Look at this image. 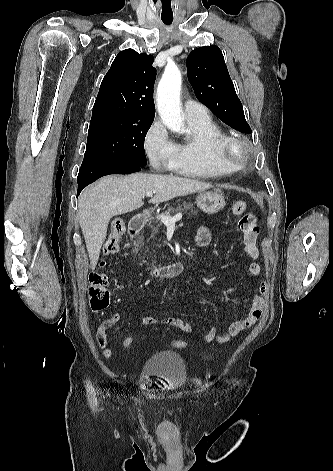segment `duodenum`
I'll return each mask as SVG.
<instances>
[{
    "mask_svg": "<svg viewBox=\"0 0 333 471\" xmlns=\"http://www.w3.org/2000/svg\"><path fill=\"white\" fill-rule=\"evenodd\" d=\"M147 222V216L145 213L138 214L133 217L128 226V235L130 241L131 255L135 258L136 256V243L135 239L140 231L144 228ZM185 269V264L181 261H177L168 265L154 268L150 271V274L154 277L169 278L181 274Z\"/></svg>",
    "mask_w": 333,
    "mask_h": 471,
    "instance_id": "obj_1",
    "label": "duodenum"
}]
</instances>
